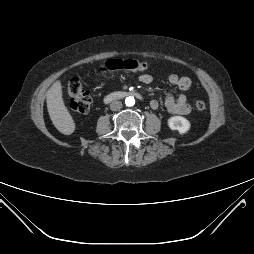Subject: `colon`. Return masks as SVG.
<instances>
[{
    "label": "colon",
    "mask_w": 254,
    "mask_h": 254,
    "mask_svg": "<svg viewBox=\"0 0 254 254\" xmlns=\"http://www.w3.org/2000/svg\"><path fill=\"white\" fill-rule=\"evenodd\" d=\"M151 64L146 61L136 59H111L106 61L102 67L105 73L115 72L119 70L144 71L149 69ZM67 92L71 98L70 109L78 116H85L89 113L92 99L87 91L84 90L81 81L78 78H72L67 86ZM198 111H204L206 104L198 100L195 102Z\"/></svg>",
    "instance_id": "colon-1"
}]
</instances>
